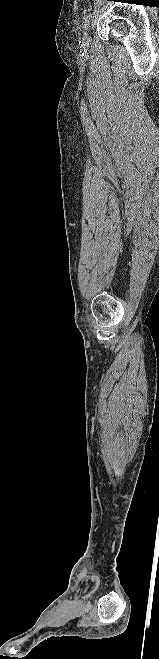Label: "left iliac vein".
<instances>
[{"instance_id":"1","label":"left iliac vein","mask_w":159,"mask_h":659,"mask_svg":"<svg viewBox=\"0 0 159 659\" xmlns=\"http://www.w3.org/2000/svg\"><path fill=\"white\" fill-rule=\"evenodd\" d=\"M90 41H91V38H90L89 27H86L84 32H83L82 43L84 45H88L90 43Z\"/></svg>"}]
</instances>
